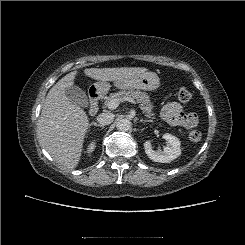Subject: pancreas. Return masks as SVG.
Masks as SVG:
<instances>
[{"mask_svg": "<svg viewBox=\"0 0 245 245\" xmlns=\"http://www.w3.org/2000/svg\"><path fill=\"white\" fill-rule=\"evenodd\" d=\"M130 97L133 98L139 103L141 110L145 114L146 117L154 119V113L152 112L154 105L150 100V97L145 93L139 90H129V91H119L117 93L110 94L105 99V104L112 99H118L121 102L124 101L125 98Z\"/></svg>", "mask_w": 245, "mask_h": 245, "instance_id": "pancreas-1", "label": "pancreas"}]
</instances>
